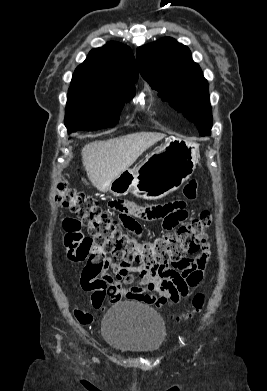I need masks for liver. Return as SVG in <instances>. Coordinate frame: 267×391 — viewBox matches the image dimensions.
I'll list each match as a JSON object with an SVG mask.
<instances>
[{
  "mask_svg": "<svg viewBox=\"0 0 267 391\" xmlns=\"http://www.w3.org/2000/svg\"><path fill=\"white\" fill-rule=\"evenodd\" d=\"M165 137L162 133L138 132L87 144L82 149V160L90 182L106 192L115 178Z\"/></svg>",
  "mask_w": 267,
  "mask_h": 391,
  "instance_id": "6515ba94",
  "label": "liver"
}]
</instances>
